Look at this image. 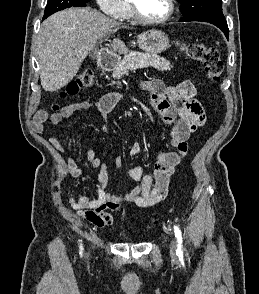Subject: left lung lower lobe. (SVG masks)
Wrapping results in <instances>:
<instances>
[{
  "label": "left lung lower lobe",
  "instance_id": "0a47b994",
  "mask_svg": "<svg viewBox=\"0 0 259 294\" xmlns=\"http://www.w3.org/2000/svg\"><path fill=\"white\" fill-rule=\"evenodd\" d=\"M180 21H203V22H209V23L214 24L215 26H217L225 34V36L227 38L229 36L228 25H227V21L225 19L217 20V19L196 18V19H191V20L180 19Z\"/></svg>",
  "mask_w": 259,
  "mask_h": 294
}]
</instances>
